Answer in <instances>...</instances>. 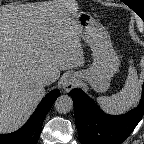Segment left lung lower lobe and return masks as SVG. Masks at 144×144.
<instances>
[{
	"label": "left lung lower lobe",
	"mask_w": 144,
	"mask_h": 144,
	"mask_svg": "<svg viewBox=\"0 0 144 144\" xmlns=\"http://www.w3.org/2000/svg\"><path fill=\"white\" fill-rule=\"evenodd\" d=\"M70 95L82 144H120L132 133L144 114V84L138 107L119 116L102 112L80 89L71 90Z\"/></svg>",
	"instance_id": "obj_1"
}]
</instances>
